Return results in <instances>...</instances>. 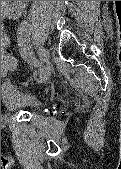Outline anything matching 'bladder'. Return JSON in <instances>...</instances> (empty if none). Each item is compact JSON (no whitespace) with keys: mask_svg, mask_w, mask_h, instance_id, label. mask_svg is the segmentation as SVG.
<instances>
[{"mask_svg":"<svg viewBox=\"0 0 121 169\" xmlns=\"http://www.w3.org/2000/svg\"><path fill=\"white\" fill-rule=\"evenodd\" d=\"M1 101L9 111L35 112L42 107V103L36 97L24 92L10 82L1 85Z\"/></svg>","mask_w":121,"mask_h":169,"instance_id":"obj_1","label":"bladder"}]
</instances>
